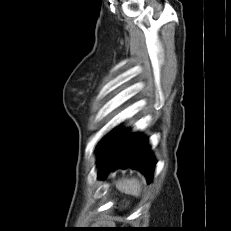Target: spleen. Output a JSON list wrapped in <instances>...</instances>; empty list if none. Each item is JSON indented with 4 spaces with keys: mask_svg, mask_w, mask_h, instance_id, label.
<instances>
[{
    "mask_svg": "<svg viewBox=\"0 0 231 231\" xmlns=\"http://www.w3.org/2000/svg\"><path fill=\"white\" fill-rule=\"evenodd\" d=\"M116 188L125 194L139 197L142 192V183L137 178H124L116 182Z\"/></svg>",
    "mask_w": 231,
    "mask_h": 231,
    "instance_id": "obj_1",
    "label": "spleen"
}]
</instances>
